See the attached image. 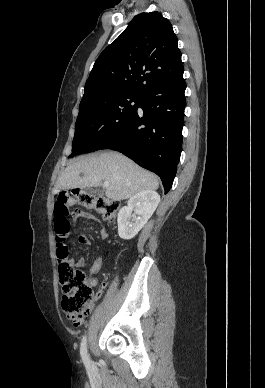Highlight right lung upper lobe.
Segmentation results:
<instances>
[{"instance_id": "cb5924a9", "label": "right lung upper lobe", "mask_w": 265, "mask_h": 388, "mask_svg": "<svg viewBox=\"0 0 265 388\" xmlns=\"http://www.w3.org/2000/svg\"><path fill=\"white\" fill-rule=\"evenodd\" d=\"M177 43L172 25L159 12L136 15L94 63L83 98L102 90L142 95L182 76Z\"/></svg>"}]
</instances>
